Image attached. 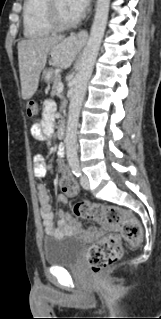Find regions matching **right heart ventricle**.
<instances>
[{"label":"right heart ventricle","mask_w":161,"mask_h":319,"mask_svg":"<svg viewBox=\"0 0 161 319\" xmlns=\"http://www.w3.org/2000/svg\"><path fill=\"white\" fill-rule=\"evenodd\" d=\"M46 0H26L23 10V34L27 39L42 38L50 34L52 28L45 17Z\"/></svg>","instance_id":"right-heart-ventricle-1"}]
</instances>
